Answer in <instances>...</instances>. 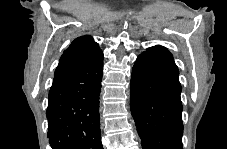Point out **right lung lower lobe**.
Here are the masks:
<instances>
[{
	"mask_svg": "<svg viewBox=\"0 0 227 149\" xmlns=\"http://www.w3.org/2000/svg\"><path fill=\"white\" fill-rule=\"evenodd\" d=\"M103 57L54 75L46 116L52 149H102L99 95Z\"/></svg>",
	"mask_w": 227,
	"mask_h": 149,
	"instance_id": "98d812e1",
	"label": "right lung lower lobe"
}]
</instances>
